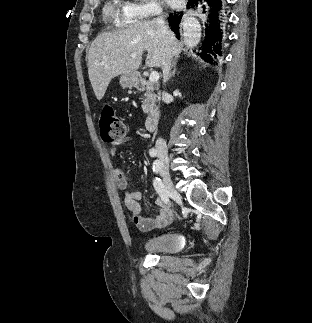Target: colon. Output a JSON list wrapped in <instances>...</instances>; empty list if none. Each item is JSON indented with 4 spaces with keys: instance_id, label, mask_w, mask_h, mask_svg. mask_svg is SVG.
Wrapping results in <instances>:
<instances>
[{
    "instance_id": "1",
    "label": "colon",
    "mask_w": 312,
    "mask_h": 323,
    "mask_svg": "<svg viewBox=\"0 0 312 323\" xmlns=\"http://www.w3.org/2000/svg\"><path fill=\"white\" fill-rule=\"evenodd\" d=\"M101 136L106 142L121 140L125 137L126 128L110 107H106L100 116Z\"/></svg>"
}]
</instances>
